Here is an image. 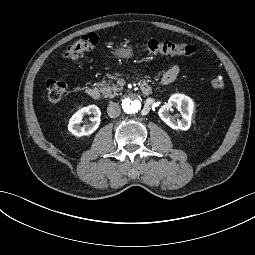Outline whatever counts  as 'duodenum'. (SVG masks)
Segmentation results:
<instances>
[{
	"instance_id": "410a0bca",
	"label": "duodenum",
	"mask_w": 255,
	"mask_h": 255,
	"mask_svg": "<svg viewBox=\"0 0 255 255\" xmlns=\"http://www.w3.org/2000/svg\"><path fill=\"white\" fill-rule=\"evenodd\" d=\"M140 89H141L142 93L145 95H148L151 92V87L146 82L141 83ZM85 92L93 100H97L100 97V92L95 87H88V88H86Z\"/></svg>"
}]
</instances>
